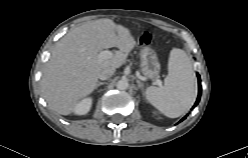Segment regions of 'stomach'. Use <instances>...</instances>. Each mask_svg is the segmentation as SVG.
<instances>
[{
	"label": "stomach",
	"instance_id": "obj_1",
	"mask_svg": "<svg viewBox=\"0 0 248 158\" xmlns=\"http://www.w3.org/2000/svg\"><path fill=\"white\" fill-rule=\"evenodd\" d=\"M141 71L149 79H155L160 72V63L155 51L149 47H143L140 52Z\"/></svg>",
	"mask_w": 248,
	"mask_h": 158
}]
</instances>
